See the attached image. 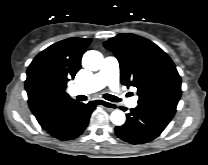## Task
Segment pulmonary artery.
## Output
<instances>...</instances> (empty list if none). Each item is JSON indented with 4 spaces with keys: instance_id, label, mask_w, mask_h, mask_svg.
I'll list each match as a JSON object with an SVG mask.
<instances>
[{
    "instance_id": "pulmonary-artery-1",
    "label": "pulmonary artery",
    "mask_w": 208,
    "mask_h": 165,
    "mask_svg": "<svg viewBox=\"0 0 208 165\" xmlns=\"http://www.w3.org/2000/svg\"><path fill=\"white\" fill-rule=\"evenodd\" d=\"M118 76H119V63L115 57L109 56L104 59L101 69L92 75L88 80L80 82L74 86L75 94L83 93L89 94L102 89L105 86L115 92L122 101L130 107H136L137 98H127L123 93L118 90Z\"/></svg>"
}]
</instances>
